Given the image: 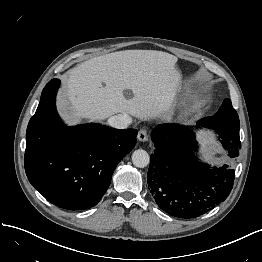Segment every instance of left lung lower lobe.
<instances>
[{
	"label": "left lung lower lobe",
	"instance_id": "left-lung-lower-lobe-1",
	"mask_svg": "<svg viewBox=\"0 0 262 262\" xmlns=\"http://www.w3.org/2000/svg\"><path fill=\"white\" fill-rule=\"evenodd\" d=\"M216 131L229 157H238L239 131ZM151 137L156 149L150 157L147 182L163 211L179 218H195L228 197L235 170L228 165L211 167L199 161L198 145L191 129L172 123L160 124L152 130Z\"/></svg>",
	"mask_w": 262,
	"mask_h": 262
}]
</instances>
